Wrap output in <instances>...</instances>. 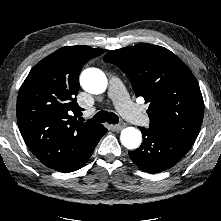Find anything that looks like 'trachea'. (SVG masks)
I'll list each match as a JSON object with an SVG mask.
<instances>
[{
	"label": "trachea",
	"mask_w": 221,
	"mask_h": 221,
	"mask_svg": "<svg viewBox=\"0 0 221 221\" xmlns=\"http://www.w3.org/2000/svg\"><path fill=\"white\" fill-rule=\"evenodd\" d=\"M92 120L95 122H108L111 124H117L119 122V118L115 113L104 110L96 113Z\"/></svg>",
	"instance_id": "obj_1"
}]
</instances>
